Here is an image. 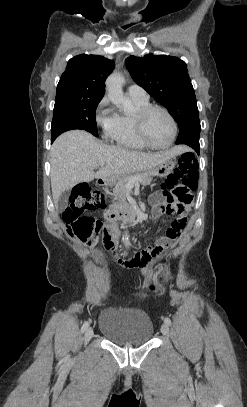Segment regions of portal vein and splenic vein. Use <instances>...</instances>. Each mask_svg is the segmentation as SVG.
<instances>
[{
    "instance_id": "1",
    "label": "portal vein and splenic vein",
    "mask_w": 247,
    "mask_h": 407,
    "mask_svg": "<svg viewBox=\"0 0 247 407\" xmlns=\"http://www.w3.org/2000/svg\"><path fill=\"white\" fill-rule=\"evenodd\" d=\"M101 165H104V164H101ZM134 179H129L128 181H127V187L128 188H132L133 186H134Z\"/></svg>"
}]
</instances>
